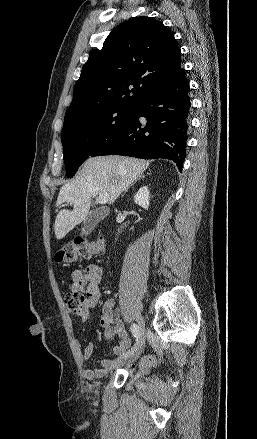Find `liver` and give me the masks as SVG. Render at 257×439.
Segmentation results:
<instances>
[{"mask_svg":"<svg viewBox=\"0 0 257 439\" xmlns=\"http://www.w3.org/2000/svg\"><path fill=\"white\" fill-rule=\"evenodd\" d=\"M149 161L120 156H99L86 160L78 175L61 187L56 206L65 202L73 210H60L54 231L62 239L76 225L86 220L92 197L109 195L112 204L148 168Z\"/></svg>","mask_w":257,"mask_h":439,"instance_id":"obj_1","label":"liver"}]
</instances>
